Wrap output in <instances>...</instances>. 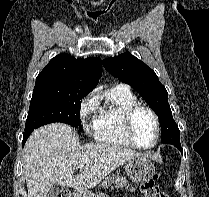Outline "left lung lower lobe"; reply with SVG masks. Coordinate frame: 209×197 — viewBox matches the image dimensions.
I'll use <instances>...</instances> for the list:
<instances>
[{"label": "left lung lower lobe", "instance_id": "0a47b994", "mask_svg": "<svg viewBox=\"0 0 209 197\" xmlns=\"http://www.w3.org/2000/svg\"><path fill=\"white\" fill-rule=\"evenodd\" d=\"M171 144L174 145L175 147H177L182 153V147H181L180 142H174V143H171Z\"/></svg>", "mask_w": 209, "mask_h": 197}]
</instances>
